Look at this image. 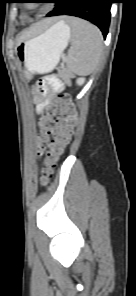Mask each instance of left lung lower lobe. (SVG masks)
<instances>
[{
    "label": "left lung lower lobe",
    "instance_id": "0a47b994",
    "mask_svg": "<svg viewBox=\"0 0 136 296\" xmlns=\"http://www.w3.org/2000/svg\"><path fill=\"white\" fill-rule=\"evenodd\" d=\"M53 3L55 8L47 17L65 14L86 19L98 26L106 38L113 0H54Z\"/></svg>",
    "mask_w": 136,
    "mask_h": 296
}]
</instances>
